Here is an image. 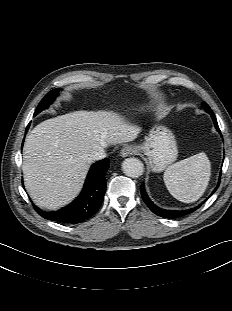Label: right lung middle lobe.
<instances>
[{
  "label": "right lung middle lobe",
  "instance_id": "right-lung-middle-lobe-1",
  "mask_svg": "<svg viewBox=\"0 0 232 311\" xmlns=\"http://www.w3.org/2000/svg\"><path fill=\"white\" fill-rule=\"evenodd\" d=\"M59 88L51 90L49 93L46 94V96L41 100V102L39 103L34 116L37 115L38 113H40L42 110L46 109L56 98V96L59 93Z\"/></svg>",
  "mask_w": 232,
  "mask_h": 311
}]
</instances>
